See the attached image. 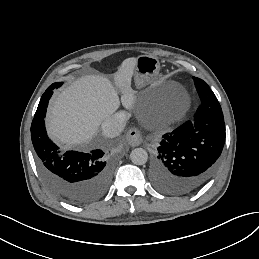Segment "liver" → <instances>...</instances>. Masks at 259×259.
Returning a JSON list of instances; mask_svg holds the SVG:
<instances>
[{
    "label": "liver",
    "mask_w": 259,
    "mask_h": 259,
    "mask_svg": "<svg viewBox=\"0 0 259 259\" xmlns=\"http://www.w3.org/2000/svg\"><path fill=\"white\" fill-rule=\"evenodd\" d=\"M137 59H130L116 76L117 84L130 91ZM119 105L116 91L104 78H86L65 89L48 109L49 134L60 143L76 146L92 137L101 122Z\"/></svg>",
    "instance_id": "liver-1"
}]
</instances>
